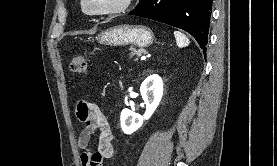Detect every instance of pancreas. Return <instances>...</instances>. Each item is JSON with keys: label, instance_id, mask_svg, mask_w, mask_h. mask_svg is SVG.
<instances>
[{"label": "pancreas", "instance_id": "cf45deb5", "mask_svg": "<svg viewBox=\"0 0 277 166\" xmlns=\"http://www.w3.org/2000/svg\"><path fill=\"white\" fill-rule=\"evenodd\" d=\"M145 50L143 49H135V48H130V57H136L135 60H138V57L141 56L142 53H144Z\"/></svg>", "mask_w": 277, "mask_h": 166}]
</instances>
